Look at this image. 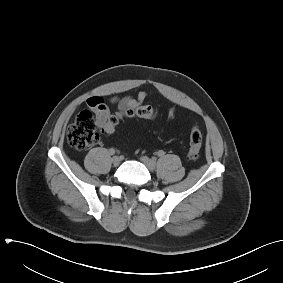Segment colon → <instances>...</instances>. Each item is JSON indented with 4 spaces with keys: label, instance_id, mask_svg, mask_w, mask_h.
Segmentation results:
<instances>
[{
    "label": "colon",
    "instance_id": "1",
    "mask_svg": "<svg viewBox=\"0 0 283 283\" xmlns=\"http://www.w3.org/2000/svg\"><path fill=\"white\" fill-rule=\"evenodd\" d=\"M157 115L156 111L145 105L128 108L122 112H118L109 117L106 124L100 128L101 132L106 136L114 133L120 120L123 118H147L153 119ZM67 139L69 144L75 149H87L97 143L99 139V131L96 120L90 111H81L67 129ZM202 133L198 126H193L189 135L188 158L197 160L200 157L202 147Z\"/></svg>",
    "mask_w": 283,
    "mask_h": 283
}]
</instances>
